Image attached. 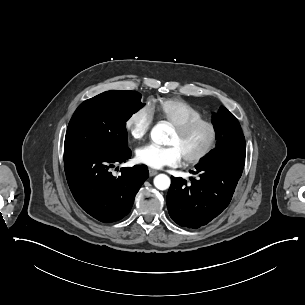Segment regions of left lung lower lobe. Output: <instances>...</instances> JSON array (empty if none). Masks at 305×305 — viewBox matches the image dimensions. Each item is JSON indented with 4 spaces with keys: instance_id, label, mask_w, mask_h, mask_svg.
Wrapping results in <instances>:
<instances>
[{
    "instance_id": "1",
    "label": "left lung lower lobe",
    "mask_w": 305,
    "mask_h": 305,
    "mask_svg": "<svg viewBox=\"0 0 305 305\" xmlns=\"http://www.w3.org/2000/svg\"><path fill=\"white\" fill-rule=\"evenodd\" d=\"M245 160L214 159L196 166L198 179L191 184L171 177L167 207L174 222L182 227L197 229L218 216L230 203Z\"/></svg>"
}]
</instances>
